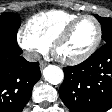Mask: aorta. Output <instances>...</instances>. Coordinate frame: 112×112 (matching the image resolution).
Masks as SVG:
<instances>
[{
	"label": "aorta",
	"mask_w": 112,
	"mask_h": 112,
	"mask_svg": "<svg viewBox=\"0 0 112 112\" xmlns=\"http://www.w3.org/2000/svg\"><path fill=\"white\" fill-rule=\"evenodd\" d=\"M43 76L45 80L53 85L62 83L64 79L63 70L56 65H48L43 70Z\"/></svg>",
	"instance_id": "1"
}]
</instances>
